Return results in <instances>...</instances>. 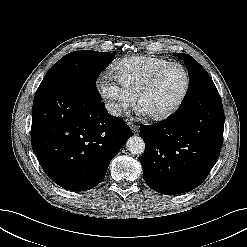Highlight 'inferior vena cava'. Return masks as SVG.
Returning <instances> with one entry per match:
<instances>
[{
    "mask_svg": "<svg viewBox=\"0 0 247 247\" xmlns=\"http://www.w3.org/2000/svg\"><path fill=\"white\" fill-rule=\"evenodd\" d=\"M106 109H107L108 113H110L111 115H114V116H120L122 113L121 107L115 103H107Z\"/></svg>",
    "mask_w": 247,
    "mask_h": 247,
    "instance_id": "inferior-vena-cava-1",
    "label": "inferior vena cava"
}]
</instances>
